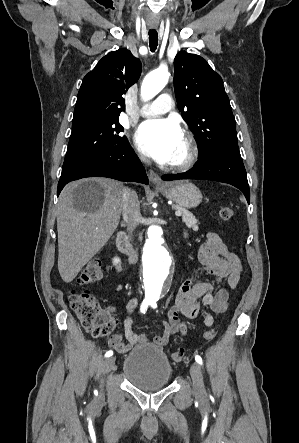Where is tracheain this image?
I'll return each instance as SVG.
<instances>
[{
    "label": "trachea",
    "mask_w": 299,
    "mask_h": 443,
    "mask_svg": "<svg viewBox=\"0 0 299 443\" xmlns=\"http://www.w3.org/2000/svg\"><path fill=\"white\" fill-rule=\"evenodd\" d=\"M158 45V33L156 30H149V46L151 52H154L157 49Z\"/></svg>",
    "instance_id": "1"
}]
</instances>
